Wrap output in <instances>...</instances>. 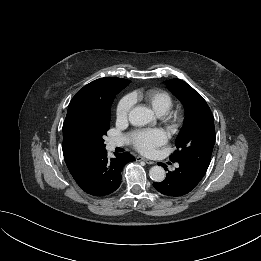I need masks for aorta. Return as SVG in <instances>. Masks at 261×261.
<instances>
[{
    "label": "aorta",
    "instance_id": "762f6f07",
    "mask_svg": "<svg viewBox=\"0 0 261 261\" xmlns=\"http://www.w3.org/2000/svg\"><path fill=\"white\" fill-rule=\"evenodd\" d=\"M129 121L134 126H145L153 121V112L147 107L138 106L129 112ZM149 176L154 182H162L166 177L163 167L153 166L149 170Z\"/></svg>",
    "mask_w": 261,
    "mask_h": 261
}]
</instances>
